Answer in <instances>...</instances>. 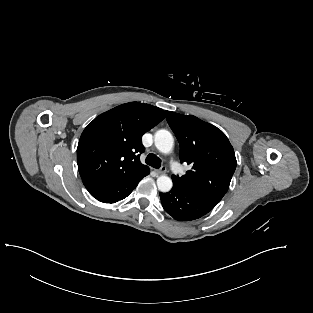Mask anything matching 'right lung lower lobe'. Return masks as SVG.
<instances>
[{"label":"right lung lower lobe","mask_w":313,"mask_h":313,"mask_svg":"<svg viewBox=\"0 0 313 313\" xmlns=\"http://www.w3.org/2000/svg\"><path fill=\"white\" fill-rule=\"evenodd\" d=\"M149 169L124 181L88 189L97 200L104 203H115L126 198L138 185L140 180L149 174Z\"/></svg>","instance_id":"right-lung-lower-lobe-1"}]
</instances>
